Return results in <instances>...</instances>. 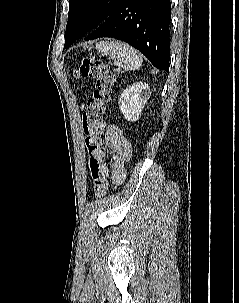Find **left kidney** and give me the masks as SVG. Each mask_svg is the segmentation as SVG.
<instances>
[{"label":"left kidney","mask_w":239,"mask_h":303,"mask_svg":"<svg viewBox=\"0 0 239 303\" xmlns=\"http://www.w3.org/2000/svg\"><path fill=\"white\" fill-rule=\"evenodd\" d=\"M151 96V91L146 83L137 82L126 88L119 98V107L127 121L135 122Z\"/></svg>","instance_id":"5707ae66"}]
</instances>
